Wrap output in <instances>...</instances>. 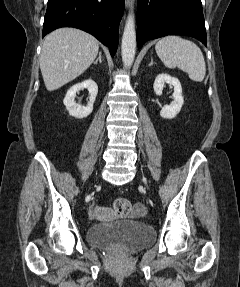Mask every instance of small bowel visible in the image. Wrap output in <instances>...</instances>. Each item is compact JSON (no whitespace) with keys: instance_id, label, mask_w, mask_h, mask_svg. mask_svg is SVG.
Returning a JSON list of instances; mask_svg holds the SVG:
<instances>
[{"instance_id":"1","label":"small bowel","mask_w":240,"mask_h":287,"mask_svg":"<svg viewBox=\"0 0 240 287\" xmlns=\"http://www.w3.org/2000/svg\"><path fill=\"white\" fill-rule=\"evenodd\" d=\"M145 211V206L142 203L134 205V212L142 214ZM89 215L93 219H104L113 217V213L109 208L101 206H92L89 210Z\"/></svg>"}]
</instances>
